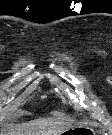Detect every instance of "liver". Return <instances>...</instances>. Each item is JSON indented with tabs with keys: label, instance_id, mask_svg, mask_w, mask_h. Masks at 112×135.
Listing matches in <instances>:
<instances>
[{
	"label": "liver",
	"instance_id": "liver-1",
	"mask_svg": "<svg viewBox=\"0 0 112 135\" xmlns=\"http://www.w3.org/2000/svg\"><path fill=\"white\" fill-rule=\"evenodd\" d=\"M64 130L65 126L60 122L39 119L25 124L21 135H60Z\"/></svg>",
	"mask_w": 112,
	"mask_h": 135
}]
</instances>
